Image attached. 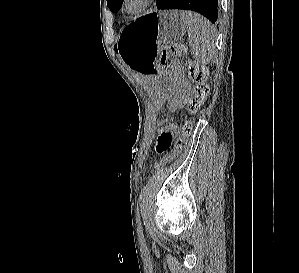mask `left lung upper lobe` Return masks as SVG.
I'll return each instance as SVG.
<instances>
[{
    "mask_svg": "<svg viewBox=\"0 0 299 273\" xmlns=\"http://www.w3.org/2000/svg\"><path fill=\"white\" fill-rule=\"evenodd\" d=\"M124 0H107V5L112 12L118 11Z\"/></svg>",
    "mask_w": 299,
    "mask_h": 273,
    "instance_id": "1",
    "label": "left lung upper lobe"
}]
</instances>
